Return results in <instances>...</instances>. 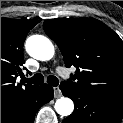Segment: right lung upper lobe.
Wrapping results in <instances>:
<instances>
[{"instance_id": "1", "label": "right lung upper lobe", "mask_w": 123, "mask_h": 123, "mask_svg": "<svg viewBox=\"0 0 123 123\" xmlns=\"http://www.w3.org/2000/svg\"><path fill=\"white\" fill-rule=\"evenodd\" d=\"M38 23V20L1 18V109L28 99L39 88L16 82L23 75L24 40Z\"/></svg>"}]
</instances>
